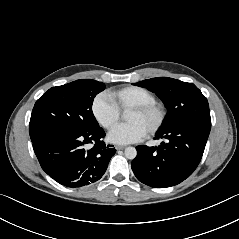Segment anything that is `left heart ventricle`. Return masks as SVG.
Returning <instances> with one entry per match:
<instances>
[{
	"mask_svg": "<svg viewBox=\"0 0 239 239\" xmlns=\"http://www.w3.org/2000/svg\"><path fill=\"white\" fill-rule=\"evenodd\" d=\"M155 115L154 114H142L137 112H128L126 116V120L129 123H137L141 125L147 132L153 126L155 122Z\"/></svg>",
	"mask_w": 239,
	"mask_h": 239,
	"instance_id": "left-heart-ventricle-1",
	"label": "left heart ventricle"
}]
</instances>
